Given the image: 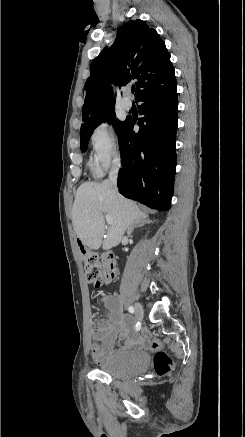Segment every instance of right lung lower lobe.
I'll use <instances>...</instances> for the list:
<instances>
[{
	"label": "right lung lower lobe",
	"instance_id": "98d812e1",
	"mask_svg": "<svg viewBox=\"0 0 245 437\" xmlns=\"http://www.w3.org/2000/svg\"><path fill=\"white\" fill-rule=\"evenodd\" d=\"M176 83L145 93L136 99L140 118L127 119L118 135L122 168L118 175L119 192L158 211L170 209L176 169L177 130Z\"/></svg>",
	"mask_w": 245,
	"mask_h": 437
}]
</instances>
